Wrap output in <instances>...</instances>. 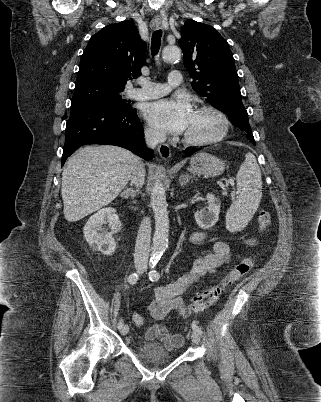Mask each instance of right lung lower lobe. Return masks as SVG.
<instances>
[{"label":"right lung lower lobe","mask_w":321,"mask_h":402,"mask_svg":"<svg viewBox=\"0 0 321 402\" xmlns=\"http://www.w3.org/2000/svg\"><path fill=\"white\" fill-rule=\"evenodd\" d=\"M65 133L62 166L75 150L86 144L116 145L146 160L154 157L144 143V130L133 108L125 111L88 106L71 108Z\"/></svg>","instance_id":"right-lung-lower-lobe-1"}]
</instances>
